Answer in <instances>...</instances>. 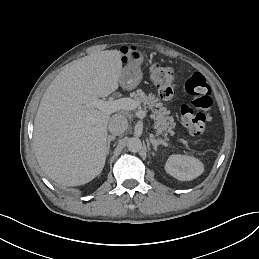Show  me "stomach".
Returning a JSON list of instances; mask_svg holds the SVG:
<instances>
[{"instance_id": "0dacf381", "label": "stomach", "mask_w": 259, "mask_h": 259, "mask_svg": "<svg viewBox=\"0 0 259 259\" xmlns=\"http://www.w3.org/2000/svg\"><path fill=\"white\" fill-rule=\"evenodd\" d=\"M128 56L130 63L124 66L119 82L123 88L134 89L142 81L143 70L139 64L143 60V55L138 50H130Z\"/></svg>"}]
</instances>
